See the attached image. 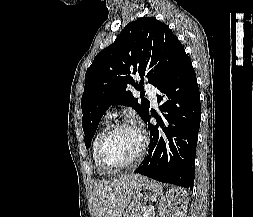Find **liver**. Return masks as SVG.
<instances>
[{"label": "liver", "instance_id": "6515ba94", "mask_svg": "<svg viewBox=\"0 0 253 217\" xmlns=\"http://www.w3.org/2000/svg\"><path fill=\"white\" fill-rule=\"evenodd\" d=\"M143 179V176L129 174L96 182L92 192L95 217H120L131 203L137 183Z\"/></svg>", "mask_w": 253, "mask_h": 217}]
</instances>
